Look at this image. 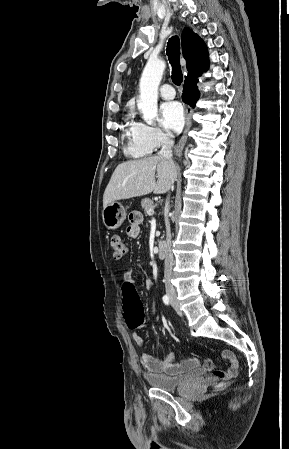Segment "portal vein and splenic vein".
<instances>
[{"mask_svg": "<svg viewBox=\"0 0 289 449\" xmlns=\"http://www.w3.org/2000/svg\"><path fill=\"white\" fill-rule=\"evenodd\" d=\"M147 214H148V215H153V214H154V210H153V209H149V210L147 211Z\"/></svg>", "mask_w": 289, "mask_h": 449, "instance_id": "1", "label": "portal vein and splenic vein"}]
</instances>
